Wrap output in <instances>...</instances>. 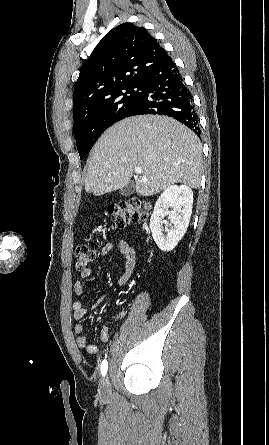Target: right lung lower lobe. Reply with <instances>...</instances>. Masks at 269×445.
<instances>
[{
  "label": "right lung lower lobe",
  "mask_w": 269,
  "mask_h": 445,
  "mask_svg": "<svg viewBox=\"0 0 269 445\" xmlns=\"http://www.w3.org/2000/svg\"><path fill=\"white\" fill-rule=\"evenodd\" d=\"M142 84L143 94L127 117L142 114L166 115L200 136L192 95L171 58L151 71Z\"/></svg>",
  "instance_id": "1"
}]
</instances>
